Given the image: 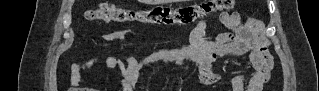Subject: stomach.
<instances>
[{"label":"stomach","mask_w":319,"mask_h":91,"mask_svg":"<svg viewBox=\"0 0 319 91\" xmlns=\"http://www.w3.org/2000/svg\"><path fill=\"white\" fill-rule=\"evenodd\" d=\"M164 1H166V0H146L145 2H147V3H161Z\"/></svg>","instance_id":"1"}]
</instances>
